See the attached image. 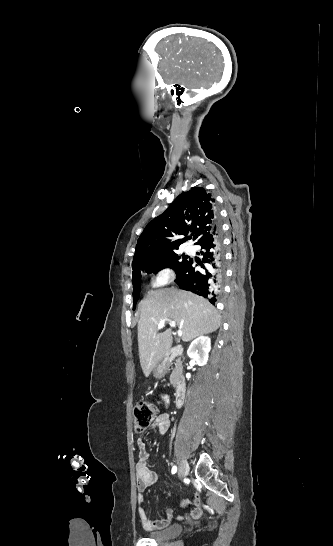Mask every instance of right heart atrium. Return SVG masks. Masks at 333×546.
Wrapping results in <instances>:
<instances>
[{"mask_svg":"<svg viewBox=\"0 0 333 546\" xmlns=\"http://www.w3.org/2000/svg\"><path fill=\"white\" fill-rule=\"evenodd\" d=\"M174 279V272L169 267L159 269L151 279L150 285L153 288H159L168 285Z\"/></svg>","mask_w":333,"mask_h":546,"instance_id":"1","label":"right heart atrium"}]
</instances>
